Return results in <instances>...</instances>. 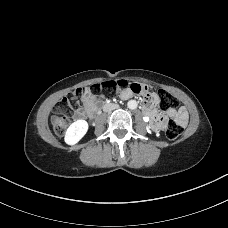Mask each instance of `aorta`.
I'll return each instance as SVG.
<instances>
[{"label": "aorta", "instance_id": "762f6f07", "mask_svg": "<svg viewBox=\"0 0 228 228\" xmlns=\"http://www.w3.org/2000/svg\"><path fill=\"white\" fill-rule=\"evenodd\" d=\"M127 106H128L129 109L134 110V109L137 108L138 103H137L136 100H129L128 103H127Z\"/></svg>", "mask_w": 228, "mask_h": 228}]
</instances>
